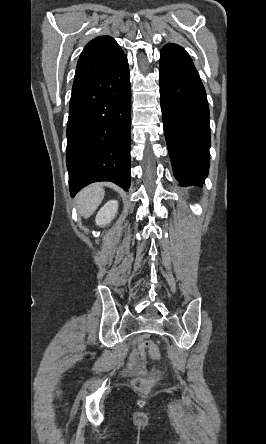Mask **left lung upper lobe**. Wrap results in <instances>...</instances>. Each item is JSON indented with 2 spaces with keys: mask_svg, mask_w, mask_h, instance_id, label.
Here are the masks:
<instances>
[{
  "mask_svg": "<svg viewBox=\"0 0 266 444\" xmlns=\"http://www.w3.org/2000/svg\"><path fill=\"white\" fill-rule=\"evenodd\" d=\"M161 52L191 60L189 54L181 46L176 44L165 45Z\"/></svg>",
  "mask_w": 266,
  "mask_h": 444,
  "instance_id": "5c2ea615",
  "label": "left lung upper lobe"
}]
</instances>
